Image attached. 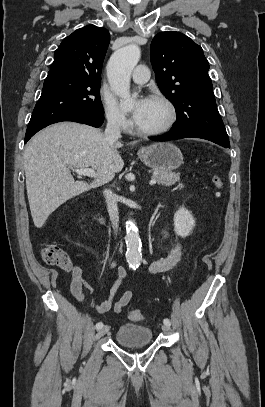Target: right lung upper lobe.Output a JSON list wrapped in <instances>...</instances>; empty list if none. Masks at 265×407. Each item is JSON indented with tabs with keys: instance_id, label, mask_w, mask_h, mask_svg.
Returning <instances> with one entry per match:
<instances>
[{
	"instance_id": "1",
	"label": "right lung upper lobe",
	"mask_w": 265,
	"mask_h": 407,
	"mask_svg": "<svg viewBox=\"0 0 265 407\" xmlns=\"http://www.w3.org/2000/svg\"><path fill=\"white\" fill-rule=\"evenodd\" d=\"M110 41L107 29L87 25L63 39L47 77L59 75L101 80L102 63Z\"/></svg>"
}]
</instances>
